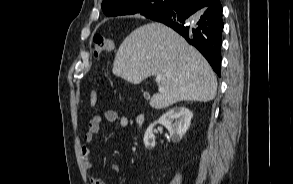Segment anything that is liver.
I'll return each instance as SVG.
<instances>
[{
	"label": "liver",
	"mask_w": 293,
	"mask_h": 184,
	"mask_svg": "<svg viewBox=\"0 0 293 184\" xmlns=\"http://www.w3.org/2000/svg\"><path fill=\"white\" fill-rule=\"evenodd\" d=\"M114 75L139 84L149 76H161L159 90L150 105L166 108L181 101H211L217 78L207 60L178 33L157 22L132 31L121 43L113 63Z\"/></svg>",
	"instance_id": "liver-1"
}]
</instances>
